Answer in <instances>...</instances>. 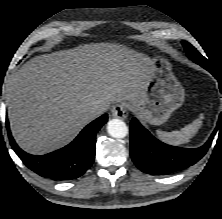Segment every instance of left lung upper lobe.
<instances>
[{
    "label": "left lung upper lobe",
    "instance_id": "left-lung-upper-lobe-1",
    "mask_svg": "<svg viewBox=\"0 0 222 219\" xmlns=\"http://www.w3.org/2000/svg\"><path fill=\"white\" fill-rule=\"evenodd\" d=\"M182 44L189 58L196 61H203L205 63H208V60L204 56H202L190 43L182 41Z\"/></svg>",
    "mask_w": 222,
    "mask_h": 219
}]
</instances>
